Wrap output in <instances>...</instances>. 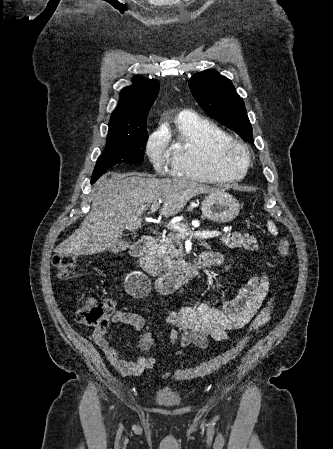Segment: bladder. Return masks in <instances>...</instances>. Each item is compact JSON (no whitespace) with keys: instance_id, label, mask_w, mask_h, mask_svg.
<instances>
[{"instance_id":"31cf9c89","label":"bladder","mask_w":333,"mask_h":449,"mask_svg":"<svg viewBox=\"0 0 333 449\" xmlns=\"http://www.w3.org/2000/svg\"><path fill=\"white\" fill-rule=\"evenodd\" d=\"M154 400L162 407H175L181 404V395L172 387H162L156 391Z\"/></svg>"}]
</instances>
